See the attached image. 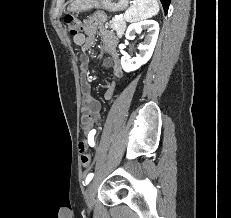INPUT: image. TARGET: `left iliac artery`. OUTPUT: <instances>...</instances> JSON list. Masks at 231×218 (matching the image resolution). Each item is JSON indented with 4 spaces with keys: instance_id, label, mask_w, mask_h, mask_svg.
<instances>
[{
    "instance_id": "1",
    "label": "left iliac artery",
    "mask_w": 231,
    "mask_h": 218,
    "mask_svg": "<svg viewBox=\"0 0 231 218\" xmlns=\"http://www.w3.org/2000/svg\"><path fill=\"white\" fill-rule=\"evenodd\" d=\"M96 134V130L93 129L89 132L88 134V144L91 146V147H94L95 143H94V136ZM94 174L93 173H90L88 174V176L86 177V184H88L92 178H93Z\"/></svg>"
}]
</instances>
